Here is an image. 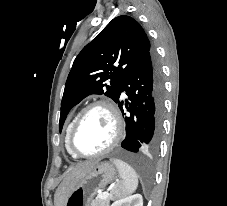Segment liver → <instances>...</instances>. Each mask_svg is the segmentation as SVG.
Returning <instances> with one entry per match:
<instances>
[{
	"mask_svg": "<svg viewBox=\"0 0 227 206\" xmlns=\"http://www.w3.org/2000/svg\"><path fill=\"white\" fill-rule=\"evenodd\" d=\"M97 162H86L73 167L64 177L63 182L58 187L54 202L55 206H65L74 187L78 182L95 166Z\"/></svg>",
	"mask_w": 227,
	"mask_h": 206,
	"instance_id": "obj_1",
	"label": "liver"
}]
</instances>
